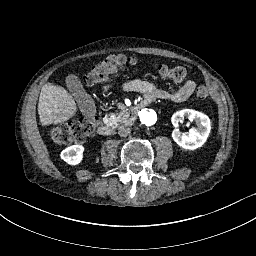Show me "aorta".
<instances>
[{"instance_id": "762f6f07", "label": "aorta", "mask_w": 256, "mask_h": 256, "mask_svg": "<svg viewBox=\"0 0 256 256\" xmlns=\"http://www.w3.org/2000/svg\"><path fill=\"white\" fill-rule=\"evenodd\" d=\"M141 117L144 123L150 125L156 122L158 116L155 110L149 108L143 111Z\"/></svg>"}]
</instances>
